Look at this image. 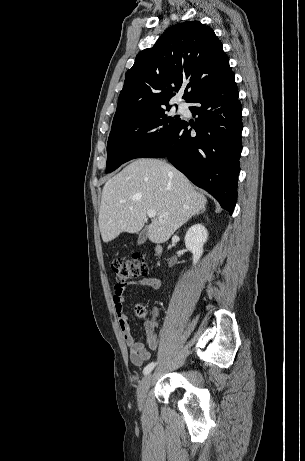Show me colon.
<instances>
[{"instance_id":"5ec220e1","label":"colon","mask_w":305,"mask_h":461,"mask_svg":"<svg viewBox=\"0 0 305 461\" xmlns=\"http://www.w3.org/2000/svg\"><path fill=\"white\" fill-rule=\"evenodd\" d=\"M112 270L120 282H127L149 273V264L140 254L133 255L130 259L118 258L112 261ZM138 315L146 314V309L138 305L136 307Z\"/></svg>"}]
</instances>
